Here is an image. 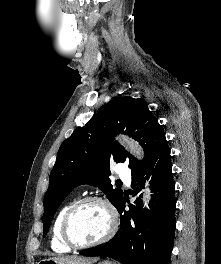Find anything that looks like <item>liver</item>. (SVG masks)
<instances>
[{
    "instance_id": "1",
    "label": "liver",
    "mask_w": 221,
    "mask_h": 264,
    "mask_svg": "<svg viewBox=\"0 0 221 264\" xmlns=\"http://www.w3.org/2000/svg\"><path fill=\"white\" fill-rule=\"evenodd\" d=\"M58 260L62 263H69V264H92L93 262L97 261V258L94 259H84L81 257L70 256V257H55L52 258Z\"/></svg>"
}]
</instances>
